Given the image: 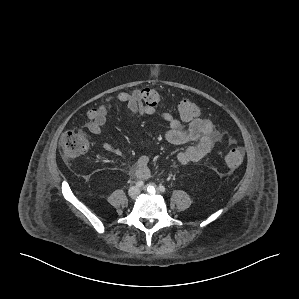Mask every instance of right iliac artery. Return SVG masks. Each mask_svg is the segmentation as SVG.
<instances>
[{
	"mask_svg": "<svg viewBox=\"0 0 299 299\" xmlns=\"http://www.w3.org/2000/svg\"><path fill=\"white\" fill-rule=\"evenodd\" d=\"M144 185L143 181L136 182V187H142Z\"/></svg>",
	"mask_w": 299,
	"mask_h": 299,
	"instance_id": "right-iliac-artery-1",
	"label": "right iliac artery"
}]
</instances>
